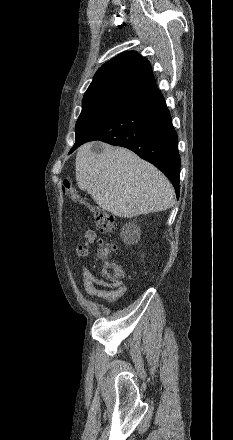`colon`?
Wrapping results in <instances>:
<instances>
[{"label": "colon", "instance_id": "5ec220e1", "mask_svg": "<svg viewBox=\"0 0 233 440\" xmlns=\"http://www.w3.org/2000/svg\"><path fill=\"white\" fill-rule=\"evenodd\" d=\"M62 190L63 193L72 200L81 202L78 194L72 188L68 179L63 181ZM87 207L89 208L101 233L108 234L114 230V219L107 211L94 205H87ZM99 245L100 249L97 256L101 261L104 262L106 268L103 273L108 278V281L111 283V285H117L120 282V279L124 277V272L118 266L108 262V257L114 251L115 246L111 243H106L101 240L99 241ZM108 268H112V274L108 272Z\"/></svg>", "mask_w": 233, "mask_h": 440}]
</instances>
